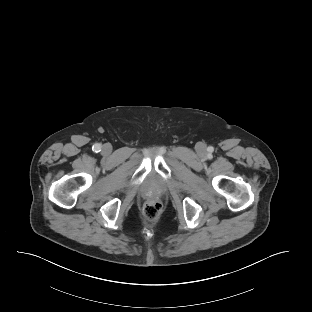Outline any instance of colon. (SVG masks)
<instances>
[{
    "mask_svg": "<svg viewBox=\"0 0 312 312\" xmlns=\"http://www.w3.org/2000/svg\"><path fill=\"white\" fill-rule=\"evenodd\" d=\"M161 205L158 202H148L143 209L144 216L149 220H154L160 212Z\"/></svg>",
    "mask_w": 312,
    "mask_h": 312,
    "instance_id": "5ec220e1",
    "label": "colon"
}]
</instances>
